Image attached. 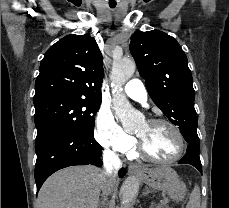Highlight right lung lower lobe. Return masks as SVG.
<instances>
[{"mask_svg":"<svg viewBox=\"0 0 229 208\" xmlns=\"http://www.w3.org/2000/svg\"><path fill=\"white\" fill-rule=\"evenodd\" d=\"M35 151L37 193L44 181L59 169L73 165H102V147L95 141L93 134L75 129L53 132L35 143ZM125 173V169L122 168L119 176L123 177Z\"/></svg>","mask_w":229,"mask_h":208,"instance_id":"98d812e1","label":"right lung lower lobe"}]
</instances>
